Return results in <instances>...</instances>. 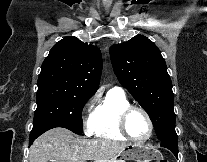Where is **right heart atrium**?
Returning a JSON list of instances; mask_svg holds the SVG:
<instances>
[{
	"instance_id": "right-heart-atrium-1",
	"label": "right heart atrium",
	"mask_w": 207,
	"mask_h": 162,
	"mask_svg": "<svg viewBox=\"0 0 207 162\" xmlns=\"http://www.w3.org/2000/svg\"><path fill=\"white\" fill-rule=\"evenodd\" d=\"M95 96L91 97L85 104V111L88 112L87 117L84 119L85 132L90 134L92 132V114L93 107L95 103Z\"/></svg>"
}]
</instances>
